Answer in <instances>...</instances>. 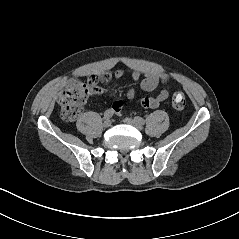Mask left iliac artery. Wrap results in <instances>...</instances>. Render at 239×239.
Wrapping results in <instances>:
<instances>
[{"mask_svg": "<svg viewBox=\"0 0 239 239\" xmlns=\"http://www.w3.org/2000/svg\"><path fill=\"white\" fill-rule=\"evenodd\" d=\"M134 119L142 125L145 123V120L142 117L136 116Z\"/></svg>", "mask_w": 239, "mask_h": 239, "instance_id": "1", "label": "left iliac artery"}]
</instances>
